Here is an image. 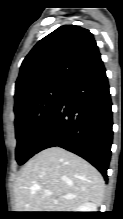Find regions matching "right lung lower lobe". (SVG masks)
Wrapping results in <instances>:
<instances>
[{
  "label": "right lung lower lobe",
  "mask_w": 123,
  "mask_h": 219,
  "mask_svg": "<svg viewBox=\"0 0 123 219\" xmlns=\"http://www.w3.org/2000/svg\"><path fill=\"white\" fill-rule=\"evenodd\" d=\"M101 58L75 74L43 134L37 153L59 146L90 162L107 180L112 144V103Z\"/></svg>",
  "instance_id": "1"
}]
</instances>
